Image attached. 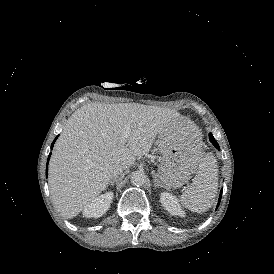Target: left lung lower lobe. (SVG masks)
<instances>
[{
    "mask_svg": "<svg viewBox=\"0 0 274 274\" xmlns=\"http://www.w3.org/2000/svg\"><path fill=\"white\" fill-rule=\"evenodd\" d=\"M210 141H211V143L217 148V149H219V145H218V143H217V141L214 139V137H213V135L210 133ZM221 196H222V190H221V192H220V197H219V202H218V205H217V207L219 206V204H220V200H221Z\"/></svg>",
    "mask_w": 274,
    "mask_h": 274,
    "instance_id": "obj_1",
    "label": "left lung lower lobe"
}]
</instances>
